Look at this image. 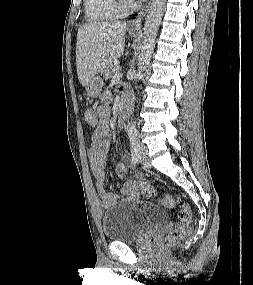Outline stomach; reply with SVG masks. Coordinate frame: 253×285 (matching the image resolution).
Wrapping results in <instances>:
<instances>
[{"mask_svg":"<svg viewBox=\"0 0 253 285\" xmlns=\"http://www.w3.org/2000/svg\"><path fill=\"white\" fill-rule=\"evenodd\" d=\"M131 35H134L131 33ZM103 81L100 77H93L85 86V96L88 99L95 98L99 95Z\"/></svg>","mask_w":253,"mask_h":285,"instance_id":"stomach-1","label":"stomach"}]
</instances>
